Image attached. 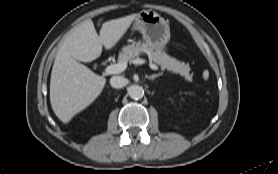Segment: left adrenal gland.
<instances>
[{"label":"left adrenal gland","instance_id":"a2214340","mask_svg":"<svg viewBox=\"0 0 278 174\" xmlns=\"http://www.w3.org/2000/svg\"><path fill=\"white\" fill-rule=\"evenodd\" d=\"M161 75H162L161 73H159V74H153V75H151V76H147V78H148L149 80H153V81H154L155 78H158V77H160Z\"/></svg>","mask_w":278,"mask_h":174}]
</instances>
